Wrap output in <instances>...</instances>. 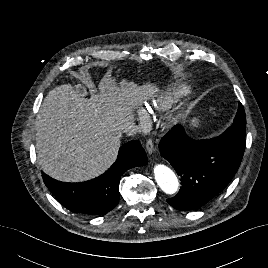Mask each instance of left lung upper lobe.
Here are the masks:
<instances>
[{
    "label": "left lung upper lobe",
    "instance_id": "5c2ea615",
    "mask_svg": "<svg viewBox=\"0 0 268 268\" xmlns=\"http://www.w3.org/2000/svg\"><path fill=\"white\" fill-rule=\"evenodd\" d=\"M245 129V112L243 106L239 105L233 125L223 134V136L230 137L234 144L240 148H245Z\"/></svg>",
    "mask_w": 268,
    "mask_h": 268
}]
</instances>
